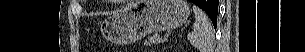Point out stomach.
<instances>
[{
    "mask_svg": "<svg viewBox=\"0 0 305 52\" xmlns=\"http://www.w3.org/2000/svg\"><path fill=\"white\" fill-rule=\"evenodd\" d=\"M189 15L185 0H136L105 19L100 29L106 40L129 44L149 33L180 27Z\"/></svg>",
    "mask_w": 305,
    "mask_h": 52,
    "instance_id": "1",
    "label": "stomach"
}]
</instances>
